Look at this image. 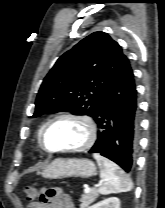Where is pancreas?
Returning a JSON list of instances; mask_svg holds the SVG:
<instances>
[{"instance_id":"obj_1","label":"pancreas","mask_w":165,"mask_h":208,"mask_svg":"<svg viewBox=\"0 0 165 208\" xmlns=\"http://www.w3.org/2000/svg\"><path fill=\"white\" fill-rule=\"evenodd\" d=\"M98 197V190L91 189L89 193H84L80 199V208H89L88 206L93 203Z\"/></svg>"}]
</instances>
